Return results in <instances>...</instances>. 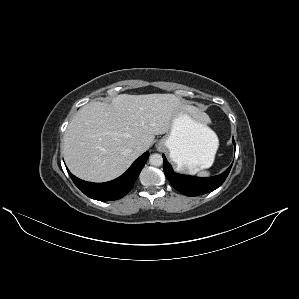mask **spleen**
Masks as SVG:
<instances>
[{
    "label": "spleen",
    "instance_id": "obj_1",
    "mask_svg": "<svg viewBox=\"0 0 299 299\" xmlns=\"http://www.w3.org/2000/svg\"><path fill=\"white\" fill-rule=\"evenodd\" d=\"M210 132L212 133V135L214 134L213 131H210ZM200 170H202V169H200ZM200 170H196V169H194L192 167L189 168V172L192 173V174L198 173V175L201 176V177L210 176V172H208V171H200Z\"/></svg>",
    "mask_w": 299,
    "mask_h": 299
}]
</instances>
